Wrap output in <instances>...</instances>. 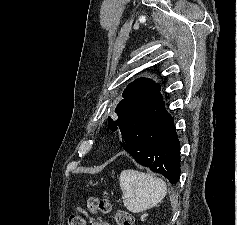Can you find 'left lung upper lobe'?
Returning a JSON list of instances; mask_svg holds the SVG:
<instances>
[{
    "label": "left lung upper lobe",
    "instance_id": "obj_1",
    "mask_svg": "<svg viewBox=\"0 0 237 225\" xmlns=\"http://www.w3.org/2000/svg\"><path fill=\"white\" fill-rule=\"evenodd\" d=\"M160 88L158 83L148 78H139L130 83L124 90V99L119 102L115 109L118 119L108 118L109 128L112 131L118 130V124L126 114L139 107L161 102L163 99Z\"/></svg>",
    "mask_w": 237,
    "mask_h": 225
}]
</instances>
